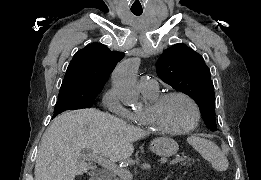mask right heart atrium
I'll return each mask as SVG.
<instances>
[{
	"label": "right heart atrium",
	"instance_id": "d8ad5b80",
	"mask_svg": "<svg viewBox=\"0 0 261 180\" xmlns=\"http://www.w3.org/2000/svg\"><path fill=\"white\" fill-rule=\"evenodd\" d=\"M102 103L104 108H110V112H115V114H118V117H125V120L131 121V114L125 108L118 106V97L113 88H110L103 95Z\"/></svg>",
	"mask_w": 261,
	"mask_h": 180
}]
</instances>
